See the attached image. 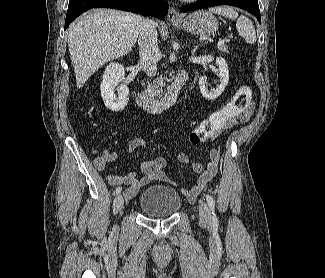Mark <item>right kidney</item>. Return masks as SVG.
<instances>
[{"mask_svg":"<svg viewBox=\"0 0 325 278\" xmlns=\"http://www.w3.org/2000/svg\"><path fill=\"white\" fill-rule=\"evenodd\" d=\"M124 76V67L119 63H110L103 74L101 97L106 108L114 112L123 110L129 101V89L123 84ZM116 88L118 95L114 93Z\"/></svg>","mask_w":325,"mask_h":278,"instance_id":"1","label":"right kidney"}]
</instances>
